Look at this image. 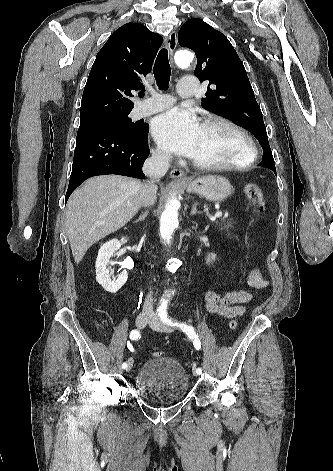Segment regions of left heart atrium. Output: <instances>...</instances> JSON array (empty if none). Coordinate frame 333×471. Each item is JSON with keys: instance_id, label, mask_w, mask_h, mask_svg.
<instances>
[{"instance_id": "left-heart-atrium-1", "label": "left heart atrium", "mask_w": 333, "mask_h": 471, "mask_svg": "<svg viewBox=\"0 0 333 471\" xmlns=\"http://www.w3.org/2000/svg\"><path fill=\"white\" fill-rule=\"evenodd\" d=\"M200 129L198 118L192 111L172 109L155 119L152 133L164 150L192 157L198 144Z\"/></svg>"}]
</instances>
